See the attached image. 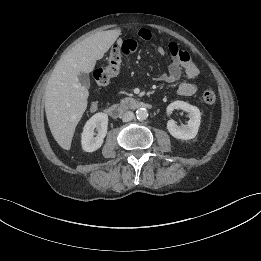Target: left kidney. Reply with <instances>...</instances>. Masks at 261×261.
I'll return each mask as SVG.
<instances>
[{
	"label": "left kidney",
	"instance_id": "1",
	"mask_svg": "<svg viewBox=\"0 0 261 261\" xmlns=\"http://www.w3.org/2000/svg\"><path fill=\"white\" fill-rule=\"evenodd\" d=\"M174 109H181L188 112L189 120L186 125L178 126L174 120H169L167 123V129L169 133L181 140H190L196 137L201 121V112L200 110L193 105H190L184 101H174L170 103L167 107L168 115Z\"/></svg>",
	"mask_w": 261,
	"mask_h": 261
}]
</instances>
